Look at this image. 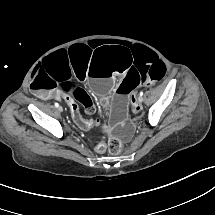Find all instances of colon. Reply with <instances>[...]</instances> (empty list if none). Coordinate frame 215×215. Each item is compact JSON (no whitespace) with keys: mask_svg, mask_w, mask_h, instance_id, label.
I'll list each match as a JSON object with an SVG mask.
<instances>
[{"mask_svg":"<svg viewBox=\"0 0 215 215\" xmlns=\"http://www.w3.org/2000/svg\"><path fill=\"white\" fill-rule=\"evenodd\" d=\"M78 98L84 103L87 114L93 115L97 112V107L94 102L89 101L82 94H79ZM109 148L112 152L117 153L123 150V145L119 140H112L109 143Z\"/></svg>","mask_w":215,"mask_h":215,"instance_id":"5ec220e1","label":"colon"}]
</instances>
